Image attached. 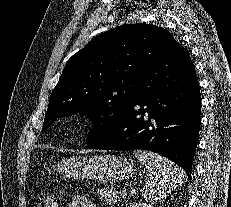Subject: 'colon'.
Returning <instances> with one entry per match:
<instances>
[{
    "label": "colon",
    "instance_id": "obj_1",
    "mask_svg": "<svg viewBox=\"0 0 231 207\" xmlns=\"http://www.w3.org/2000/svg\"><path fill=\"white\" fill-rule=\"evenodd\" d=\"M39 207H57L55 196L43 194L39 197Z\"/></svg>",
    "mask_w": 231,
    "mask_h": 207
}]
</instances>
